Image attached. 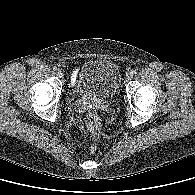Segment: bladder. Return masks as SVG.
Returning <instances> with one entry per match:
<instances>
[{
	"label": "bladder",
	"mask_w": 195,
	"mask_h": 195,
	"mask_svg": "<svg viewBox=\"0 0 195 195\" xmlns=\"http://www.w3.org/2000/svg\"><path fill=\"white\" fill-rule=\"evenodd\" d=\"M120 90V71L107 59H91L82 64L73 93L83 98L113 99Z\"/></svg>",
	"instance_id": "31cf9c89"
}]
</instances>
